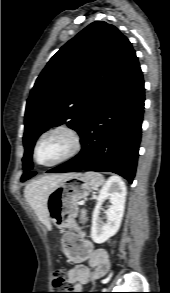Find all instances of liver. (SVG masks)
Instances as JSON below:
<instances>
[{"label": "liver", "mask_w": 170, "mask_h": 293, "mask_svg": "<svg viewBox=\"0 0 170 293\" xmlns=\"http://www.w3.org/2000/svg\"><path fill=\"white\" fill-rule=\"evenodd\" d=\"M67 174L44 175L30 182L24 189V196L34 210L39 221L51 229L47 200L51 189L61 181Z\"/></svg>", "instance_id": "liver-1"}]
</instances>
